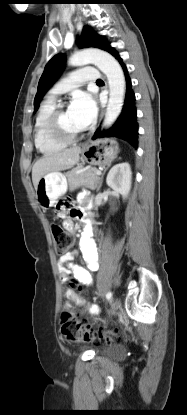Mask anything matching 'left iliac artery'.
Listing matches in <instances>:
<instances>
[{
  "label": "left iliac artery",
  "instance_id": "1",
  "mask_svg": "<svg viewBox=\"0 0 187 415\" xmlns=\"http://www.w3.org/2000/svg\"><path fill=\"white\" fill-rule=\"evenodd\" d=\"M106 298H107V300H110L112 298V292H108L106 294Z\"/></svg>",
  "mask_w": 187,
  "mask_h": 415
}]
</instances>
